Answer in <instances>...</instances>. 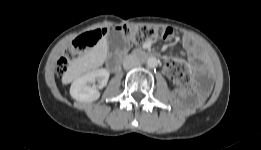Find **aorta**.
Listing matches in <instances>:
<instances>
[{
    "label": "aorta",
    "mask_w": 261,
    "mask_h": 150,
    "mask_svg": "<svg viewBox=\"0 0 261 150\" xmlns=\"http://www.w3.org/2000/svg\"><path fill=\"white\" fill-rule=\"evenodd\" d=\"M158 65V60L155 57H149L147 59V66L149 68H156Z\"/></svg>",
    "instance_id": "aorta-1"
}]
</instances>
